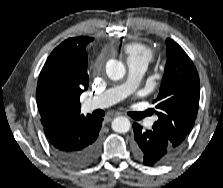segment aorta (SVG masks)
I'll return each instance as SVG.
<instances>
[{"instance_id": "obj_1", "label": "aorta", "mask_w": 223, "mask_h": 188, "mask_svg": "<svg viewBox=\"0 0 223 188\" xmlns=\"http://www.w3.org/2000/svg\"><path fill=\"white\" fill-rule=\"evenodd\" d=\"M125 71V66L121 61L111 59L106 64V73L111 80L123 79ZM111 127L117 133H127L131 128V123L128 118L119 116L113 119Z\"/></svg>"}]
</instances>
